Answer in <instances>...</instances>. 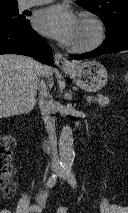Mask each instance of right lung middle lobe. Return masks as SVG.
Returning <instances> with one entry per match:
<instances>
[{
  "label": "right lung middle lobe",
  "instance_id": "obj_1",
  "mask_svg": "<svg viewBox=\"0 0 128 213\" xmlns=\"http://www.w3.org/2000/svg\"><path fill=\"white\" fill-rule=\"evenodd\" d=\"M26 21V17L19 14L18 5L0 7V23L17 25Z\"/></svg>",
  "mask_w": 128,
  "mask_h": 213
}]
</instances>
